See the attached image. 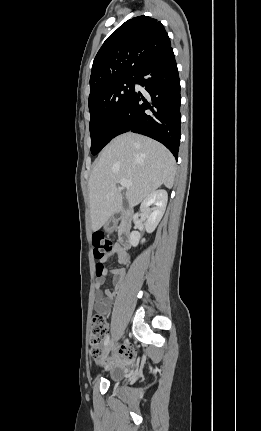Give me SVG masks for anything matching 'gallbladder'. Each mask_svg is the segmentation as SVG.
I'll return each mask as SVG.
<instances>
[{"instance_id":"obj_1","label":"gallbladder","mask_w":261,"mask_h":431,"mask_svg":"<svg viewBox=\"0 0 261 431\" xmlns=\"http://www.w3.org/2000/svg\"><path fill=\"white\" fill-rule=\"evenodd\" d=\"M123 207H124L125 209L128 207L127 200H124V201H123Z\"/></svg>"}]
</instances>
